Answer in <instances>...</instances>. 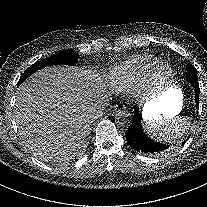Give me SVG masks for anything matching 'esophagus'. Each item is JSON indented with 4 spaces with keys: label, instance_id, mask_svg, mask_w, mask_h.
<instances>
[{
    "label": "esophagus",
    "instance_id": "1",
    "mask_svg": "<svg viewBox=\"0 0 207 207\" xmlns=\"http://www.w3.org/2000/svg\"><path fill=\"white\" fill-rule=\"evenodd\" d=\"M118 109H126L125 105H123L122 101H117L116 105H115V111H117Z\"/></svg>",
    "mask_w": 207,
    "mask_h": 207
}]
</instances>
